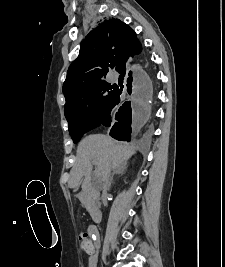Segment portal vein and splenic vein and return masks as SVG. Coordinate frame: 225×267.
<instances>
[{
  "label": "portal vein and splenic vein",
  "instance_id": "18ae733b",
  "mask_svg": "<svg viewBox=\"0 0 225 267\" xmlns=\"http://www.w3.org/2000/svg\"><path fill=\"white\" fill-rule=\"evenodd\" d=\"M97 174H98V172L96 171V172H95V175L97 176Z\"/></svg>",
  "mask_w": 225,
  "mask_h": 267
}]
</instances>
